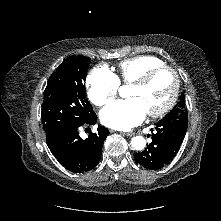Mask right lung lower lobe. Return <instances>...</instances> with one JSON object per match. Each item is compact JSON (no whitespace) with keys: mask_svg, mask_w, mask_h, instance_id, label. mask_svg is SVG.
Returning <instances> with one entry per match:
<instances>
[{"mask_svg":"<svg viewBox=\"0 0 221 221\" xmlns=\"http://www.w3.org/2000/svg\"><path fill=\"white\" fill-rule=\"evenodd\" d=\"M97 116L92 114L86 121L70 128L47 135V145L58 162L67 170L83 173L94 169L102 154L103 142L109 134L107 128L99 126L85 140L81 139L78 129L81 126L94 125Z\"/></svg>","mask_w":221,"mask_h":221,"instance_id":"obj_1","label":"right lung lower lobe"}]
</instances>
